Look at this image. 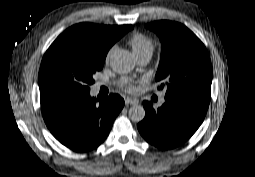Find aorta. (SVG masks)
Masks as SVG:
<instances>
[{"label":"aorta","instance_id":"aorta-1","mask_svg":"<svg viewBox=\"0 0 255 177\" xmlns=\"http://www.w3.org/2000/svg\"><path fill=\"white\" fill-rule=\"evenodd\" d=\"M111 68L119 74H127L134 69L133 55L124 49L112 53L110 57ZM128 116L133 122H140L145 117V109L142 105L134 104L129 108Z\"/></svg>","mask_w":255,"mask_h":177}]
</instances>
